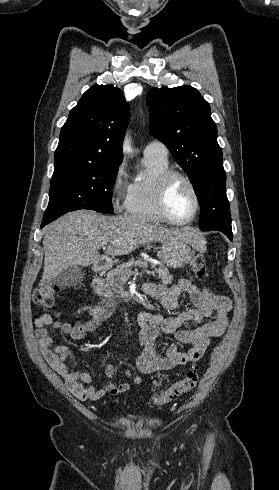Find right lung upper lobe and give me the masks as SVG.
I'll return each mask as SVG.
<instances>
[{
	"label": "right lung upper lobe",
	"instance_id": "right-lung-upper-lobe-1",
	"mask_svg": "<svg viewBox=\"0 0 279 490\" xmlns=\"http://www.w3.org/2000/svg\"><path fill=\"white\" fill-rule=\"evenodd\" d=\"M128 120L129 109L119 88L92 86L61 129L55 166L122 161L121 140Z\"/></svg>",
	"mask_w": 279,
	"mask_h": 490
}]
</instances>
